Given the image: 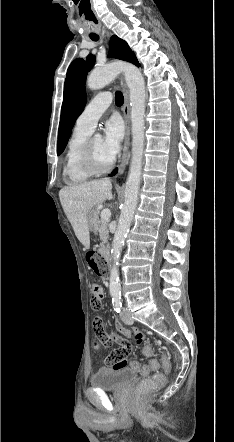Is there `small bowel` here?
Returning a JSON list of instances; mask_svg holds the SVG:
<instances>
[{"label": "small bowel", "mask_w": 234, "mask_h": 442, "mask_svg": "<svg viewBox=\"0 0 234 442\" xmlns=\"http://www.w3.org/2000/svg\"><path fill=\"white\" fill-rule=\"evenodd\" d=\"M100 288L103 292V289L101 286H100ZM92 325L94 327L93 331L95 333V342L102 343L101 347L103 349H109L110 346L112 345V342L115 341V338L112 337V334L110 332H107V330L103 328V324L100 322V317H97V319L93 320ZM115 327H116V330L119 333H121L122 335H124L126 337L132 336V332L128 328H126L121 322L117 321L115 323ZM115 337H118V334H115ZM143 339H144V337L141 332L135 333V340L137 343H141L143 341ZM127 341H128V338H125L122 340L118 339V342L122 345V347L129 349L131 347V344ZM116 350L117 349L113 350V352ZM111 354L106 358L107 362H110ZM126 363H127V361H126Z\"/></svg>", "instance_id": "obj_1"}]
</instances>
